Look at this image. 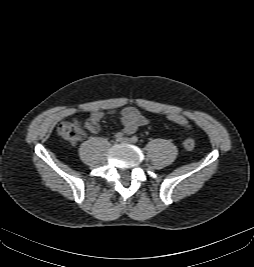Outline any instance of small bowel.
<instances>
[{
    "instance_id": "1",
    "label": "small bowel",
    "mask_w": 254,
    "mask_h": 267,
    "mask_svg": "<svg viewBox=\"0 0 254 267\" xmlns=\"http://www.w3.org/2000/svg\"><path fill=\"white\" fill-rule=\"evenodd\" d=\"M121 117L122 131L130 135L134 133L139 127L147 124V118L142 115L137 109L133 107H126L123 109H96L91 111L90 120L93 122V127L90 128L92 133H96L99 129V121L105 115H116Z\"/></svg>"
}]
</instances>
